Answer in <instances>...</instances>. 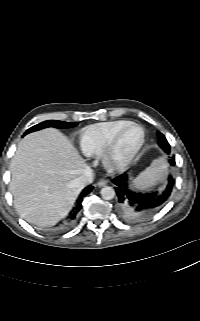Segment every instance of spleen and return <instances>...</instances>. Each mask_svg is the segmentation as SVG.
<instances>
[{
  "instance_id": "1",
  "label": "spleen",
  "mask_w": 200,
  "mask_h": 321,
  "mask_svg": "<svg viewBox=\"0 0 200 321\" xmlns=\"http://www.w3.org/2000/svg\"><path fill=\"white\" fill-rule=\"evenodd\" d=\"M168 174V163L165 157L152 161L151 165L141 172L131 183L136 189H150L163 182Z\"/></svg>"
}]
</instances>
